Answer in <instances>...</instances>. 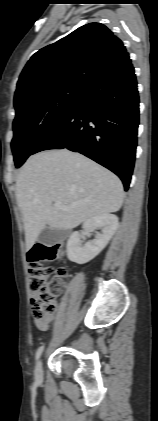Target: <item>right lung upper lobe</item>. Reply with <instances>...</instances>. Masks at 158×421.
Listing matches in <instances>:
<instances>
[{"label": "right lung upper lobe", "instance_id": "obj_1", "mask_svg": "<svg viewBox=\"0 0 158 421\" xmlns=\"http://www.w3.org/2000/svg\"><path fill=\"white\" fill-rule=\"evenodd\" d=\"M125 53L122 41L105 25L79 27L31 57L19 77L14 104L47 89L85 86L98 71Z\"/></svg>", "mask_w": 158, "mask_h": 421}]
</instances>
